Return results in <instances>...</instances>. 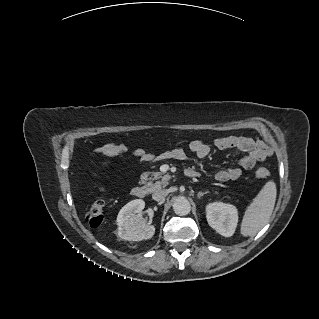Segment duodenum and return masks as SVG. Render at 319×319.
<instances>
[{"label":"duodenum","instance_id":"410a0bca","mask_svg":"<svg viewBox=\"0 0 319 319\" xmlns=\"http://www.w3.org/2000/svg\"><path fill=\"white\" fill-rule=\"evenodd\" d=\"M187 177L195 178L198 176V173L194 170H187L185 172ZM132 195L136 198H144L146 195V189L142 185H137L132 189Z\"/></svg>","mask_w":319,"mask_h":319}]
</instances>
